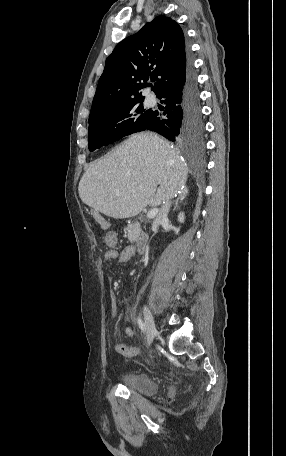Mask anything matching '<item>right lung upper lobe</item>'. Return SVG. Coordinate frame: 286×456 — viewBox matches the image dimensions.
Segmentation results:
<instances>
[{
  "instance_id": "obj_1",
  "label": "right lung upper lobe",
  "mask_w": 286,
  "mask_h": 456,
  "mask_svg": "<svg viewBox=\"0 0 286 456\" xmlns=\"http://www.w3.org/2000/svg\"><path fill=\"white\" fill-rule=\"evenodd\" d=\"M190 64L183 31L167 16H158L125 38L106 59L93 99L89 121L121 105L143 101L142 90L154 80L158 95L182 79Z\"/></svg>"
}]
</instances>
